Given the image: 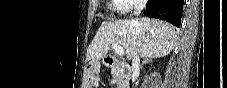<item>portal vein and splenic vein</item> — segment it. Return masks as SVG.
Segmentation results:
<instances>
[{
    "label": "portal vein and splenic vein",
    "instance_id": "1",
    "mask_svg": "<svg viewBox=\"0 0 227 88\" xmlns=\"http://www.w3.org/2000/svg\"><path fill=\"white\" fill-rule=\"evenodd\" d=\"M112 48L114 49L115 53L119 56L124 55V49L123 47H121L120 45H118L117 43H113L112 44Z\"/></svg>",
    "mask_w": 227,
    "mask_h": 88
}]
</instances>
